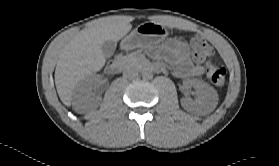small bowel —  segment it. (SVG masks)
<instances>
[{"instance_id": "1", "label": "small bowel", "mask_w": 279, "mask_h": 166, "mask_svg": "<svg viewBox=\"0 0 279 166\" xmlns=\"http://www.w3.org/2000/svg\"><path fill=\"white\" fill-rule=\"evenodd\" d=\"M162 54L176 66L180 76L197 77L201 75V66L194 64L188 46L178 39H170L162 46ZM159 56L160 53H157Z\"/></svg>"}]
</instances>
